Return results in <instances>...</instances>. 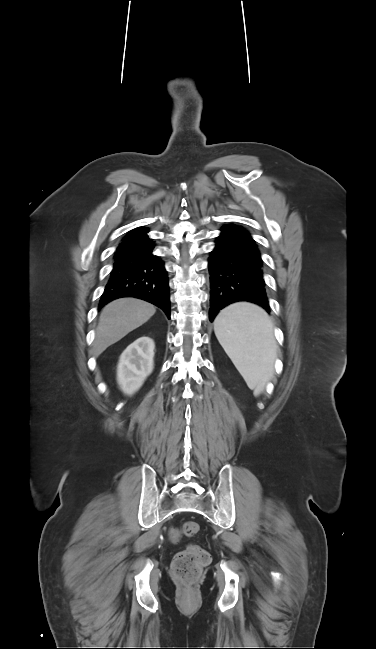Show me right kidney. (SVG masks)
Segmentation results:
<instances>
[{"instance_id":"right-kidney-1","label":"right kidney","mask_w":376,"mask_h":649,"mask_svg":"<svg viewBox=\"0 0 376 649\" xmlns=\"http://www.w3.org/2000/svg\"><path fill=\"white\" fill-rule=\"evenodd\" d=\"M154 341L140 337L121 354L117 367V381L121 390L132 395L140 389L153 370Z\"/></svg>"}]
</instances>
